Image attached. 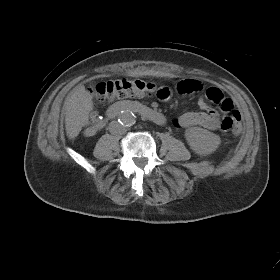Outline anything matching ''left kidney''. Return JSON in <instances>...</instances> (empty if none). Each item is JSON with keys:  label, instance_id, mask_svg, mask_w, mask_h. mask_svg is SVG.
<instances>
[{"label": "left kidney", "instance_id": "left-kidney-1", "mask_svg": "<svg viewBox=\"0 0 280 280\" xmlns=\"http://www.w3.org/2000/svg\"><path fill=\"white\" fill-rule=\"evenodd\" d=\"M185 137L191 149L199 155L213 153L221 142L218 135L200 127L186 130Z\"/></svg>", "mask_w": 280, "mask_h": 280}]
</instances>
